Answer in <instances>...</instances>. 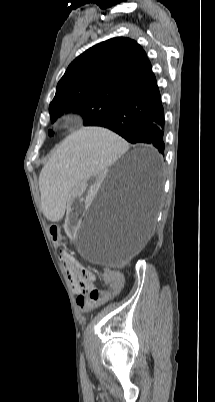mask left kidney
I'll use <instances>...</instances> for the list:
<instances>
[{"label": "left kidney", "mask_w": 215, "mask_h": 402, "mask_svg": "<svg viewBox=\"0 0 215 402\" xmlns=\"http://www.w3.org/2000/svg\"><path fill=\"white\" fill-rule=\"evenodd\" d=\"M106 172L104 169H97L93 175H86L82 180V184H77L74 191L70 193L67 215L71 219H80L85 205L90 204L95 198V193L100 191L98 184L102 183ZM80 223L77 220H65L64 228L67 236L75 237V233L79 228Z\"/></svg>", "instance_id": "left-kidney-1"}]
</instances>
